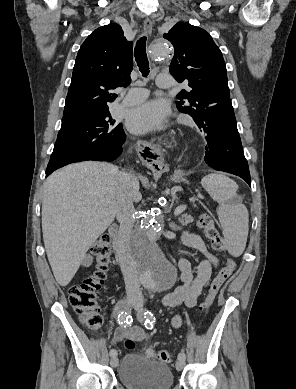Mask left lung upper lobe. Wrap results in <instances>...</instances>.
Instances as JSON below:
<instances>
[{"label":"left lung upper lobe","mask_w":296,"mask_h":389,"mask_svg":"<svg viewBox=\"0 0 296 389\" xmlns=\"http://www.w3.org/2000/svg\"><path fill=\"white\" fill-rule=\"evenodd\" d=\"M163 37L174 47L171 74L190 87L177 95L176 106L201 128L209 108L230 100L222 53L208 32L189 23L178 22Z\"/></svg>","instance_id":"left-lung-upper-lobe-1"}]
</instances>
